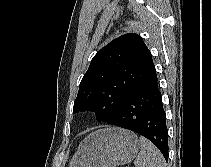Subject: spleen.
Listing matches in <instances>:
<instances>
[{
	"instance_id": "obj_1",
	"label": "spleen",
	"mask_w": 211,
	"mask_h": 167,
	"mask_svg": "<svg viewBox=\"0 0 211 167\" xmlns=\"http://www.w3.org/2000/svg\"><path fill=\"white\" fill-rule=\"evenodd\" d=\"M141 150L136 160L135 167H166V162L161 152L145 137H140Z\"/></svg>"
}]
</instances>
